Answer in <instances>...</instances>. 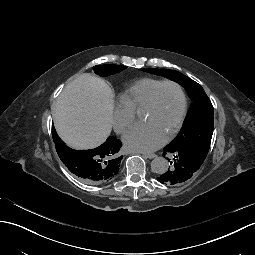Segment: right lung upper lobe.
<instances>
[{
	"instance_id": "cb5924a9",
	"label": "right lung upper lobe",
	"mask_w": 255,
	"mask_h": 255,
	"mask_svg": "<svg viewBox=\"0 0 255 255\" xmlns=\"http://www.w3.org/2000/svg\"><path fill=\"white\" fill-rule=\"evenodd\" d=\"M52 136L56 151L65 166L81 181L88 184H103L115 178L119 171L120 162L123 156L119 152L122 143L117 138L110 136L101 146L90 150H74L64 144L52 126ZM87 151L89 154L96 152L100 155V174L96 177H86L83 174V162L79 154Z\"/></svg>"
}]
</instances>
